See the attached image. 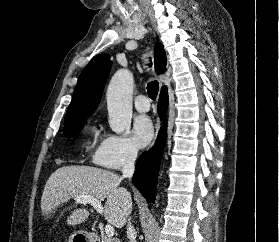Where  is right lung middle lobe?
I'll return each instance as SVG.
<instances>
[{
    "mask_svg": "<svg viewBox=\"0 0 279 242\" xmlns=\"http://www.w3.org/2000/svg\"><path fill=\"white\" fill-rule=\"evenodd\" d=\"M85 120L78 122V123L65 125V127L63 129L64 135L67 138L75 137L82 130Z\"/></svg>",
    "mask_w": 279,
    "mask_h": 242,
    "instance_id": "dd1d6c3e",
    "label": "right lung middle lobe"
}]
</instances>
